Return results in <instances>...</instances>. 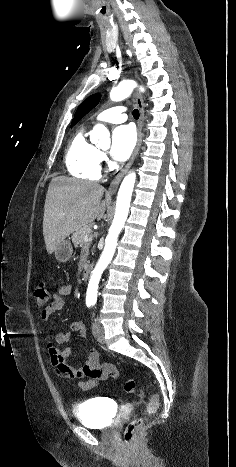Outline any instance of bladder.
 <instances>
[{
    "instance_id": "bladder-1",
    "label": "bladder",
    "mask_w": 236,
    "mask_h": 467,
    "mask_svg": "<svg viewBox=\"0 0 236 467\" xmlns=\"http://www.w3.org/2000/svg\"><path fill=\"white\" fill-rule=\"evenodd\" d=\"M114 406L106 398L88 399L74 408L77 420L95 428L109 427L112 422Z\"/></svg>"
}]
</instances>
